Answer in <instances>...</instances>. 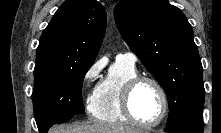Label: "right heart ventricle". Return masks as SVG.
Returning a JSON list of instances; mask_svg holds the SVG:
<instances>
[{
    "label": "right heart ventricle",
    "instance_id": "e07e8e85",
    "mask_svg": "<svg viewBox=\"0 0 221 133\" xmlns=\"http://www.w3.org/2000/svg\"><path fill=\"white\" fill-rule=\"evenodd\" d=\"M137 76L135 65L116 60L107 76L96 87L90 104V113L98 122L112 125L129 123L121 106L124 84Z\"/></svg>",
    "mask_w": 221,
    "mask_h": 133
}]
</instances>
